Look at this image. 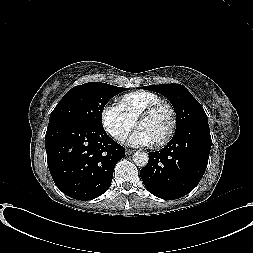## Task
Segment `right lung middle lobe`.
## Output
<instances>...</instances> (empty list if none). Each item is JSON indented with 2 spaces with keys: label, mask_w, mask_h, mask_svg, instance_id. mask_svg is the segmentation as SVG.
I'll return each mask as SVG.
<instances>
[{
  "label": "right lung middle lobe",
  "mask_w": 253,
  "mask_h": 253,
  "mask_svg": "<svg viewBox=\"0 0 253 253\" xmlns=\"http://www.w3.org/2000/svg\"><path fill=\"white\" fill-rule=\"evenodd\" d=\"M127 90L100 82L75 86L59 101L52 111L49 124L64 120H77L96 127L102 126V112L115 95Z\"/></svg>",
  "instance_id": "dd1d6c3e"
}]
</instances>
